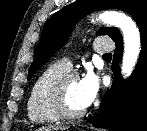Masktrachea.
Wrapping results in <instances>:
<instances>
[{
  "label": "trachea",
  "instance_id": "trachea-1",
  "mask_svg": "<svg viewBox=\"0 0 147 131\" xmlns=\"http://www.w3.org/2000/svg\"><path fill=\"white\" fill-rule=\"evenodd\" d=\"M103 56L104 57H112V53H105Z\"/></svg>",
  "mask_w": 147,
  "mask_h": 131
}]
</instances>
